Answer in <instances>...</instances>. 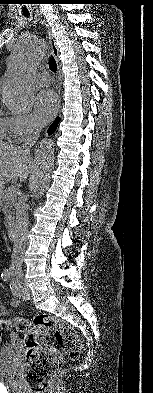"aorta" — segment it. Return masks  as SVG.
Returning <instances> with one entry per match:
<instances>
[{"label":"aorta","mask_w":153,"mask_h":393,"mask_svg":"<svg viewBox=\"0 0 153 393\" xmlns=\"http://www.w3.org/2000/svg\"><path fill=\"white\" fill-rule=\"evenodd\" d=\"M46 52V41L39 35L20 39L8 58L7 77L0 87L2 102L13 113L28 112L33 107L35 87L33 72ZM54 147L50 139L42 140L34 152L35 178L33 194L40 198L51 182Z\"/></svg>","instance_id":"aorta-1"}]
</instances>
